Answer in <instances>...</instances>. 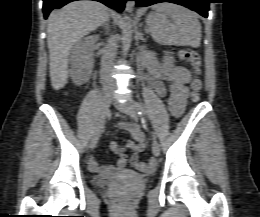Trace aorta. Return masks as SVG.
Wrapping results in <instances>:
<instances>
[{
	"instance_id": "1",
	"label": "aorta",
	"mask_w": 260,
	"mask_h": 217,
	"mask_svg": "<svg viewBox=\"0 0 260 217\" xmlns=\"http://www.w3.org/2000/svg\"><path fill=\"white\" fill-rule=\"evenodd\" d=\"M133 7V2H127L125 11L129 12ZM133 34L132 20L128 15H125L122 23V44L124 49H128L131 45Z\"/></svg>"
}]
</instances>
